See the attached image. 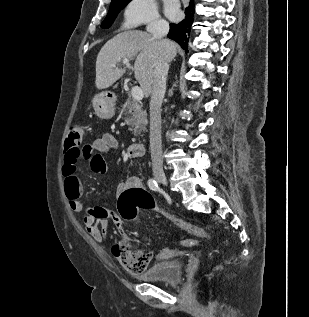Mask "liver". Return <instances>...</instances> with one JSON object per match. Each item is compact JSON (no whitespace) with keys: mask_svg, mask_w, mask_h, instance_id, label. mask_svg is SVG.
<instances>
[{"mask_svg":"<svg viewBox=\"0 0 309 317\" xmlns=\"http://www.w3.org/2000/svg\"><path fill=\"white\" fill-rule=\"evenodd\" d=\"M173 45L170 61L177 53V45ZM161 51V42L147 32L132 30L119 33L107 41L97 55L96 87L103 89L112 86L125 73V68L120 67L121 61L136 57L135 78L145 97H148L151 94L154 70Z\"/></svg>","mask_w":309,"mask_h":317,"instance_id":"1","label":"liver"}]
</instances>
